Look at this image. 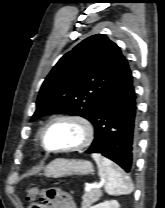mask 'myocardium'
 Returning a JSON list of instances; mask_svg holds the SVG:
<instances>
[{"label": "myocardium", "instance_id": "1", "mask_svg": "<svg viewBox=\"0 0 165 208\" xmlns=\"http://www.w3.org/2000/svg\"><path fill=\"white\" fill-rule=\"evenodd\" d=\"M58 121H70L73 122L77 125H79L83 131V139L72 146L69 147H65V148H59V149H49L44 141V137L46 134V131L48 130V128L58 122ZM40 145L41 147L49 153H66V152H73V151H79L82 150L86 147H88L93 139H94V127L93 124L91 123V121L85 117L82 116H77V115H70V114H63V115H59L56 116L52 119H50L42 128L41 132H40Z\"/></svg>", "mask_w": 165, "mask_h": 208}]
</instances>
